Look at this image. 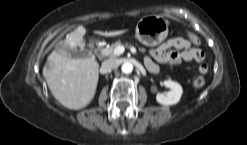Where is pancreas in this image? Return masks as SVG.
Segmentation results:
<instances>
[{"mask_svg": "<svg viewBox=\"0 0 247 145\" xmlns=\"http://www.w3.org/2000/svg\"><path fill=\"white\" fill-rule=\"evenodd\" d=\"M118 46H123L120 42H116V43H114V44H112L111 46H109V47H106V48H103L102 50H101V54L103 55V56H106V57H115L116 55L114 54V49L116 48V47H118ZM125 47H127V48H129L130 47V45L128 44V43H126L125 44ZM139 50L141 51V52H145V49L144 48H139Z\"/></svg>", "mask_w": 247, "mask_h": 145, "instance_id": "pancreas-1", "label": "pancreas"}]
</instances>
